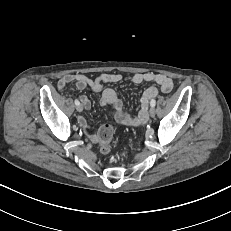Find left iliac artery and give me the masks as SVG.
<instances>
[{
	"label": "left iliac artery",
	"instance_id": "1",
	"mask_svg": "<svg viewBox=\"0 0 231 231\" xmlns=\"http://www.w3.org/2000/svg\"><path fill=\"white\" fill-rule=\"evenodd\" d=\"M155 105H156V101H155L154 99H152L151 102H150V106H151L152 108H154Z\"/></svg>",
	"mask_w": 231,
	"mask_h": 231
}]
</instances>
